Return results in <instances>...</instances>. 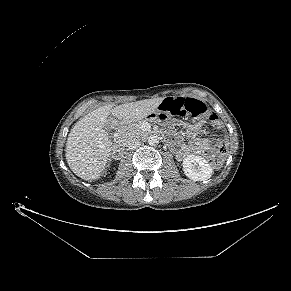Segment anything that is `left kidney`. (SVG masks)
Listing matches in <instances>:
<instances>
[{
  "instance_id": "left-kidney-1",
  "label": "left kidney",
  "mask_w": 291,
  "mask_h": 291,
  "mask_svg": "<svg viewBox=\"0 0 291 291\" xmlns=\"http://www.w3.org/2000/svg\"><path fill=\"white\" fill-rule=\"evenodd\" d=\"M183 171L193 181H206L213 174L210 164L198 155H188L184 158Z\"/></svg>"
}]
</instances>
